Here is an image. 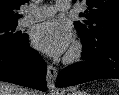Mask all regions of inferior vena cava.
Masks as SVG:
<instances>
[{
    "label": "inferior vena cava",
    "mask_w": 119,
    "mask_h": 95,
    "mask_svg": "<svg viewBox=\"0 0 119 95\" xmlns=\"http://www.w3.org/2000/svg\"><path fill=\"white\" fill-rule=\"evenodd\" d=\"M29 93H28V90L27 89H23V91H22V95H28Z\"/></svg>",
    "instance_id": "602c4592"
}]
</instances>
